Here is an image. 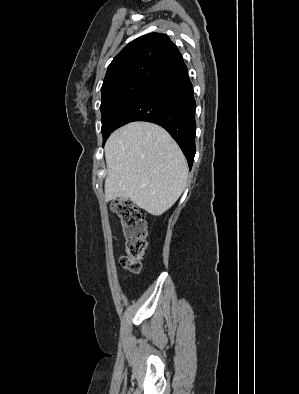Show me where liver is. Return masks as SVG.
I'll return each instance as SVG.
<instances>
[{"label":"liver","instance_id":"liver-1","mask_svg":"<svg viewBox=\"0 0 299 394\" xmlns=\"http://www.w3.org/2000/svg\"><path fill=\"white\" fill-rule=\"evenodd\" d=\"M106 201L130 199L159 216L178 200L186 187V159L167 131L149 122H131L108 138Z\"/></svg>","mask_w":299,"mask_h":394}]
</instances>
